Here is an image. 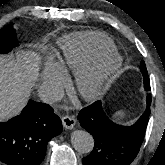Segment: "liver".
<instances>
[{
    "label": "liver",
    "instance_id": "obj_1",
    "mask_svg": "<svg viewBox=\"0 0 165 165\" xmlns=\"http://www.w3.org/2000/svg\"><path fill=\"white\" fill-rule=\"evenodd\" d=\"M39 75V57L33 52L0 55V121L18 115L26 105Z\"/></svg>",
    "mask_w": 165,
    "mask_h": 165
}]
</instances>
